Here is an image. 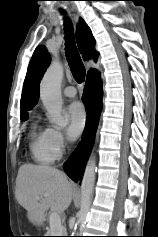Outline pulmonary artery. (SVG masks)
<instances>
[{
    "instance_id": "obj_1",
    "label": "pulmonary artery",
    "mask_w": 158,
    "mask_h": 237,
    "mask_svg": "<svg viewBox=\"0 0 158 237\" xmlns=\"http://www.w3.org/2000/svg\"><path fill=\"white\" fill-rule=\"evenodd\" d=\"M63 94L68 98L76 96V89L73 86H68L64 89Z\"/></svg>"
}]
</instances>
